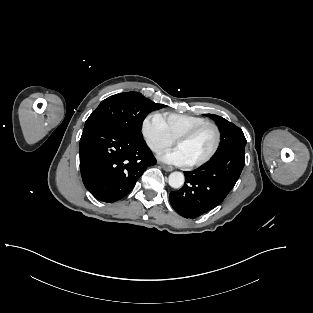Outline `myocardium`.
Here are the masks:
<instances>
[{
    "mask_svg": "<svg viewBox=\"0 0 313 313\" xmlns=\"http://www.w3.org/2000/svg\"><path fill=\"white\" fill-rule=\"evenodd\" d=\"M208 127H211L215 132V144L207 156H205L204 158H202L199 161L190 163L189 164L190 167H193V168L201 167V166L207 164L210 160H212L214 158V156L217 154V152L220 148V145H221L222 134H221L220 127L214 122L206 121L202 124L195 126L194 128L183 133L182 135H180L179 137H177L175 139L176 145L181 143V142L189 141L193 137H195L199 132H201L203 129L208 128Z\"/></svg>",
    "mask_w": 313,
    "mask_h": 313,
    "instance_id": "obj_1",
    "label": "myocardium"
}]
</instances>
